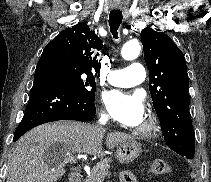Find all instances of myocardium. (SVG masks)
Masks as SVG:
<instances>
[{"label":"myocardium","mask_w":211,"mask_h":182,"mask_svg":"<svg viewBox=\"0 0 211 182\" xmlns=\"http://www.w3.org/2000/svg\"><path fill=\"white\" fill-rule=\"evenodd\" d=\"M147 123L143 127H137L134 130V134L143 138H149L155 134V132L159 128V118L158 116L152 112H147Z\"/></svg>","instance_id":"obj_1"}]
</instances>
